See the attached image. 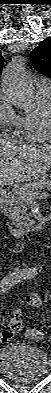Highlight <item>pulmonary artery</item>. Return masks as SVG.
Segmentation results:
<instances>
[{
  "mask_svg": "<svg viewBox=\"0 0 51 393\" xmlns=\"http://www.w3.org/2000/svg\"><path fill=\"white\" fill-rule=\"evenodd\" d=\"M37 88H42V89H51V83L49 80L45 78H39L36 81Z\"/></svg>",
  "mask_w": 51,
  "mask_h": 393,
  "instance_id": "e3ab8cb5",
  "label": "pulmonary artery"
}]
</instances>
